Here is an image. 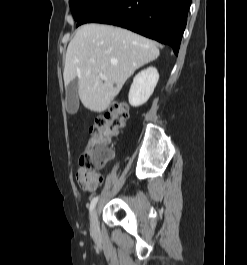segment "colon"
Instances as JSON below:
<instances>
[{"instance_id":"colon-1","label":"colon","mask_w":247,"mask_h":265,"mask_svg":"<svg viewBox=\"0 0 247 265\" xmlns=\"http://www.w3.org/2000/svg\"><path fill=\"white\" fill-rule=\"evenodd\" d=\"M128 107L123 103L114 104L90 127L81 168L90 175H100V170L111 160V145L126 126Z\"/></svg>"}]
</instances>
